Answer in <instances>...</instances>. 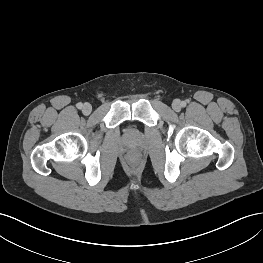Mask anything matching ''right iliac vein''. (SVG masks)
<instances>
[{"instance_id": "obj_1", "label": "right iliac vein", "mask_w": 263, "mask_h": 263, "mask_svg": "<svg viewBox=\"0 0 263 263\" xmlns=\"http://www.w3.org/2000/svg\"><path fill=\"white\" fill-rule=\"evenodd\" d=\"M92 111V106L89 103H85L82 107V112L84 115H89Z\"/></svg>"}]
</instances>
